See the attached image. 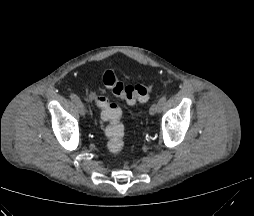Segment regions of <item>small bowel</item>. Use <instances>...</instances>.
I'll return each mask as SVG.
<instances>
[{
  "instance_id": "obj_1",
  "label": "small bowel",
  "mask_w": 254,
  "mask_h": 216,
  "mask_svg": "<svg viewBox=\"0 0 254 216\" xmlns=\"http://www.w3.org/2000/svg\"><path fill=\"white\" fill-rule=\"evenodd\" d=\"M94 98H95V101H96V104H97V100H96V97L94 96ZM97 106H98V104H97ZM99 107V106H98Z\"/></svg>"
}]
</instances>
